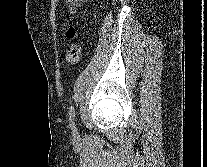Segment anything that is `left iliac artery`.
Here are the masks:
<instances>
[{
	"mask_svg": "<svg viewBox=\"0 0 207 167\" xmlns=\"http://www.w3.org/2000/svg\"><path fill=\"white\" fill-rule=\"evenodd\" d=\"M74 120H75V109H74V106H71L70 110H69V123H70V126L72 127L73 131L75 129Z\"/></svg>",
	"mask_w": 207,
	"mask_h": 167,
	"instance_id": "44dca946",
	"label": "left iliac artery"
}]
</instances>
